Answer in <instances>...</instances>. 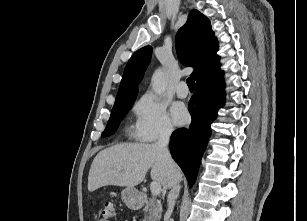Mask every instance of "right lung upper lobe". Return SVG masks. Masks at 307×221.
<instances>
[{
	"mask_svg": "<svg viewBox=\"0 0 307 221\" xmlns=\"http://www.w3.org/2000/svg\"><path fill=\"white\" fill-rule=\"evenodd\" d=\"M175 42L183 64L194 67L191 75L196 79V87H205L222 80L219 56L216 55L218 42L207 17L193 10L186 24L178 30ZM151 55V46H145L132 55L125 67L115 103L137 96V86Z\"/></svg>",
	"mask_w": 307,
	"mask_h": 221,
	"instance_id": "cb5924a9",
	"label": "right lung upper lobe"
}]
</instances>
